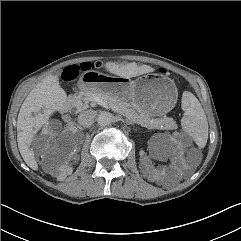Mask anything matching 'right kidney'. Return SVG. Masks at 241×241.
Here are the masks:
<instances>
[{
	"label": "right kidney",
	"instance_id": "ca27d5eb",
	"mask_svg": "<svg viewBox=\"0 0 241 241\" xmlns=\"http://www.w3.org/2000/svg\"><path fill=\"white\" fill-rule=\"evenodd\" d=\"M55 122H48L46 123L45 127L42 130V133H48L50 131V129L52 128V124H54Z\"/></svg>",
	"mask_w": 241,
	"mask_h": 241
}]
</instances>
